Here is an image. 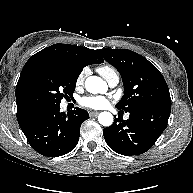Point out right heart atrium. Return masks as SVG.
Instances as JSON below:
<instances>
[{"mask_svg":"<svg viewBox=\"0 0 193 193\" xmlns=\"http://www.w3.org/2000/svg\"><path fill=\"white\" fill-rule=\"evenodd\" d=\"M87 74V69H83L79 75L77 76L76 83L77 85H81L85 79V76Z\"/></svg>","mask_w":193,"mask_h":193,"instance_id":"right-heart-atrium-1","label":"right heart atrium"}]
</instances>
